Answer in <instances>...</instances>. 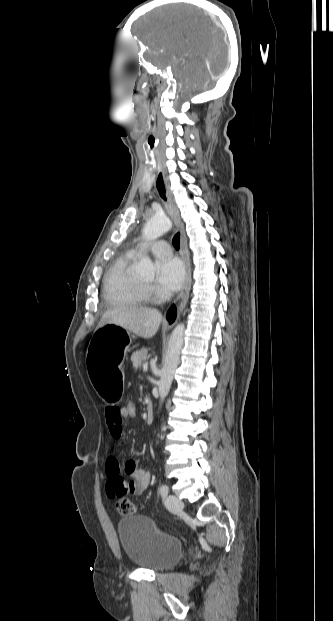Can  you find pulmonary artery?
Here are the masks:
<instances>
[{"label": "pulmonary artery", "mask_w": 333, "mask_h": 621, "mask_svg": "<svg viewBox=\"0 0 333 621\" xmlns=\"http://www.w3.org/2000/svg\"><path fill=\"white\" fill-rule=\"evenodd\" d=\"M137 248H134L132 250L133 254L137 253ZM149 251L156 257L159 258H168L171 256V248L169 246V244L166 241H158L153 243L150 248Z\"/></svg>", "instance_id": "1"}]
</instances>
